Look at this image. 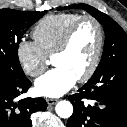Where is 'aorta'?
<instances>
[{
  "label": "aorta",
  "instance_id": "aorta-1",
  "mask_svg": "<svg viewBox=\"0 0 127 127\" xmlns=\"http://www.w3.org/2000/svg\"><path fill=\"white\" fill-rule=\"evenodd\" d=\"M56 113L61 118H69L73 113V106L69 101H60L56 105Z\"/></svg>",
  "mask_w": 127,
  "mask_h": 127
}]
</instances>
